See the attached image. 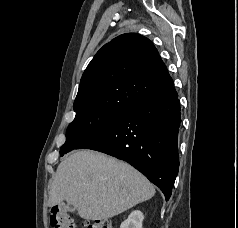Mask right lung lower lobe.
<instances>
[{"label":"right lung lower lobe","mask_w":238,"mask_h":228,"mask_svg":"<svg viewBox=\"0 0 238 228\" xmlns=\"http://www.w3.org/2000/svg\"><path fill=\"white\" fill-rule=\"evenodd\" d=\"M180 115V102L173 86L129 107L76 149H92L125 160L169 200L179 168Z\"/></svg>","instance_id":"right-lung-lower-lobe-1"}]
</instances>
